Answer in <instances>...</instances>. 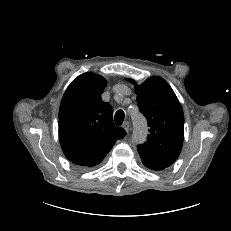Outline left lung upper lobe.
<instances>
[{
  "label": "left lung upper lobe",
  "mask_w": 231,
  "mask_h": 231,
  "mask_svg": "<svg viewBox=\"0 0 231 231\" xmlns=\"http://www.w3.org/2000/svg\"><path fill=\"white\" fill-rule=\"evenodd\" d=\"M135 92L140 111L150 127L147 141L137 146L138 153L149 168L169 167L178 158L183 145L181 104L170 85L160 77H151L140 86L135 84Z\"/></svg>",
  "instance_id": "left-lung-upper-lobe-1"
}]
</instances>
